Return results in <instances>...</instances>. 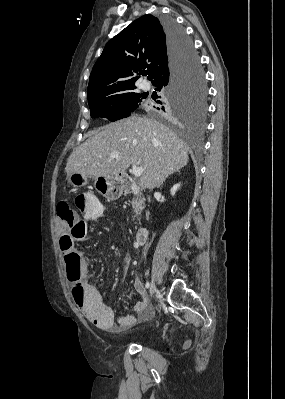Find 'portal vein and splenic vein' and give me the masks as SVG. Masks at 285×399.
Listing matches in <instances>:
<instances>
[{"label":"portal vein and splenic vein","mask_w":285,"mask_h":399,"mask_svg":"<svg viewBox=\"0 0 285 399\" xmlns=\"http://www.w3.org/2000/svg\"><path fill=\"white\" fill-rule=\"evenodd\" d=\"M118 157H119L118 152H112L110 154V158H118ZM143 171H144L143 167L137 166L136 164H132V172L136 178L140 177L142 175Z\"/></svg>","instance_id":"18ae733b"}]
</instances>
